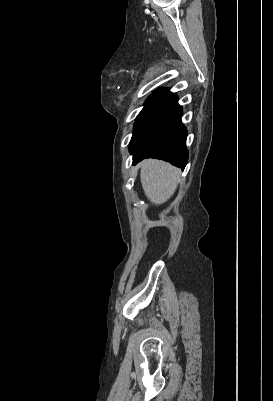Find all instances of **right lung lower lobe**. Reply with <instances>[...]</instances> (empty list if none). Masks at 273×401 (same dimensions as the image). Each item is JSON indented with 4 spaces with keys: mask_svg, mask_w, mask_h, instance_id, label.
Wrapping results in <instances>:
<instances>
[{
    "mask_svg": "<svg viewBox=\"0 0 273 401\" xmlns=\"http://www.w3.org/2000/svg\"><path fill=\"white\" fill-rule=\"evenodd\" d=\"M182 108L177 97L171 100L133 135L129 151L133 164L146 158L170 162L182 170L188 160L186 127L181 122Z\"/></svg>",
    "mask_w": 273,
    "mask_h": 401,
    "instance_id": "98d812e1",
    "label": "right lung lower lobe"
}]
</instances>
